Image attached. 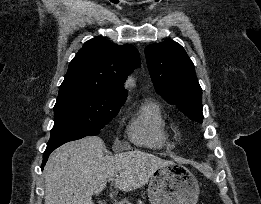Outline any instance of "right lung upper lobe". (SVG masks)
Instances as JSON below:
<instances>
[{
    "instance_id": "cb5924a9",
    "label": "right lung upper lobe",
    "mask_w": 261,
    "mask_h": 204,
    "mask_svg": "<svg viewBox=\"0 0 261 204\" xmlns=\"http://www.w3.org/2000/svg\"><path fill=\"white\" fill-rule=\"evenodd\" d=\"M140 65L138 50L131 44L116 45L103 38L84 43L69 64L59 95L91 92L106 101H124L123 83Z\"/></svg>"
}]
</instances>
